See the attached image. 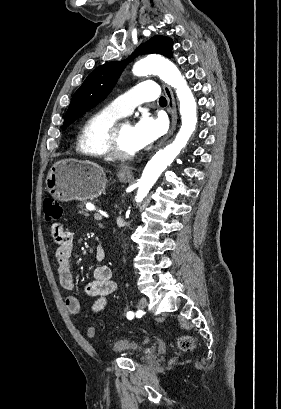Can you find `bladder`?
Returning <instances> with one entry per match:
<instances>
[{"label": "bladder", "mask_w": 281, "mask_h": 409, "mask_svg": "<svg viewBox=\"0 0 281 409\" xmlns=\"http://www.w3.org/2000/svg\"><path fill=\"white\" fill-rule=\"evenodd\" d=\"M109 354L123 355L128 358H135V355H147V342L125 335L113 337L108 347Z\"/></svg>", "instance_id": "1"}]
</instances>
